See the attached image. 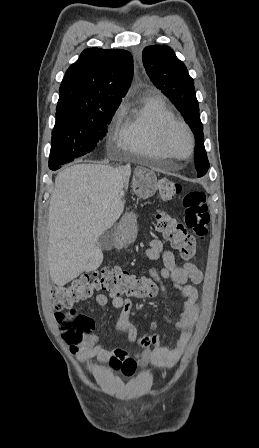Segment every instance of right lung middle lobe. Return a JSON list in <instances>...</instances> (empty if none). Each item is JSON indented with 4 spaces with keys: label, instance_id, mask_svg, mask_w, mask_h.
I'll use <instances>...</instances> for the list:
<instances>
[{
    "label": "right lung middle lobe",
    "instance_id": "right-lung-middle-lobe-1",
    "mask_svg": "<svg viewBox=\"0 0 259 448\" xmlns=\"http://www.w3.org/2000/svg\"><path fill=\"white\" fill-rule=\"evenodd\" d=\"M116 108L96 109L70 114H56L52 131L49 168L60 165L91 152L107 132Z\"/></svg>",
    "mask_w": 259,
    "mask_h": 448
}]
</instances>
